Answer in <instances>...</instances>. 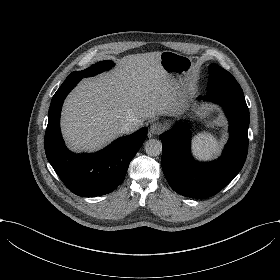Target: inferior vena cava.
Segmentation results:
<instances>
[{
  "label": "inferior vena cava",
  "mask_w": 280,
  "mask_h": 280,
  "mask_svg": "<svg viewBox=\"0 0 280 280\" xmlns=\"http://www.w3.org/2000/svg\"><path fill=\"white\" fill-rule=\"evenodd\" d=\"M139 127H140V125L138 123L135 125H133L132 123H126L122 127H120V133L122 135L131 134V133L135 132L136 130H138Z\"/></svg>",
  "instance_id": "1"
}]
</instances>
